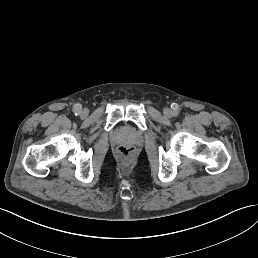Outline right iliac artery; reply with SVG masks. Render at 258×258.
Wrapping results in <instances>:
<instances>
[{
    "label": "right iliac artery",
    "instance_id": "obj_1",
    "mask_svg": "<svg viewBox=\"0 0 258 258\" xmlns=\"http://www.w3.org/2000/svg\"><path fill=\"white\" fill-rule=\"evenodd\" d=\"M73 112H74V114L76 115V116H78V115H80L81 114V110L80 109H78V106H74V108H73Z\"/></svg>",
    "mask_w": 258,
    "mask_h": 258
}]
</instances>
